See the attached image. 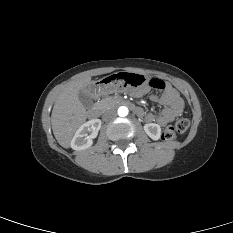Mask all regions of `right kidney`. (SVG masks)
<instances>
[{"mask_svg":"<svg viewBox=\"0 0 233 233\" xmlns=\"http://www.w3.org/2000/svg\"><path fill=\"white\" fill-rule=\"evenodd\" d=\"M101 127V120L93 119L79 127L72 141L71 148L74 150H83L89 148L93 144V139L97 136ZM88 132H91L88 134Z\"/></svg>","mask_w":233,"mask_h":233,"instance_id":"1","label":"right kidney"}]
</instances>
